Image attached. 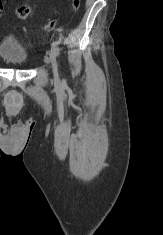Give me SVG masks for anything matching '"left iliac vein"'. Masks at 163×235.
<instances>
[{
	"label": "left iliac vein",
	"mask_w": 163,
	"mask_h": 235,
	"mask_svg": "<svg viewBox=\"0 0 163 235\" xmlns=\"http://www.w3.org/2000/svg\"><path fill=\"white\" fill-rule=\"evenodd\" d=\"M50 62H51V65H52L54 79H55L56 82H59L58 63H57L56 52H55L54 48H52L50 50Z\"/></svg>",
	"instance_id": "obj_1"
}]
</instances>
